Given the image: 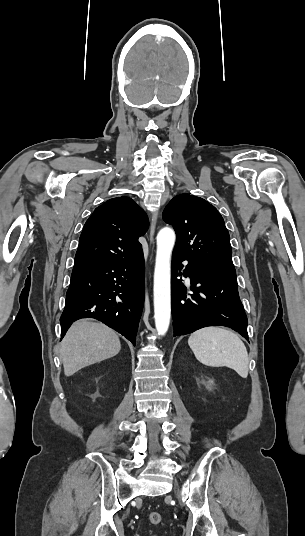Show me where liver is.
Here are the masks:
<instances>
[{
	"label": "liver",
	"instance_id": "obj_1",
	"mask_svg": "<svg viewBox=\"0 0 305 536\" xmlns=\"http://www.w3.org/2000/svg\"><path fill=\"white\" fill-rule=\"evenodd\" d=\"M120 350V340L114 330L101 322L78 320L63 338L59 354L65 376H73L85 366L113 358Z\"/></svg>",
	"mask_w": 305,
	"mask_h": 536
}]
</instances>
